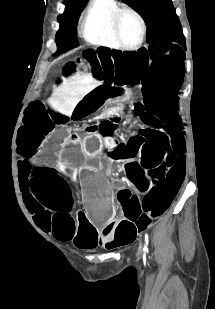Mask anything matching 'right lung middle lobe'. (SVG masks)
I'll use <instances>...</instances> for the list:
<instances>
[{
  "label": "right lung middle lobe",
  "mask_w": 215,
  "mask_h": 309,
  "mask_svg": "<svg viewBox=\"0 0 215 309\" xmlns=\"http://www.w3.org/2000/svg\"><path fill=\"white\" fill-rule=\"evenodd\" d=\"M87 0H65L66 12L60 16V30L56 35L58 51L56 54L64 53L78 46L76 38V25L81 11Z\"/></svg>",
  "instance_id": "1"
}]
</instances>
